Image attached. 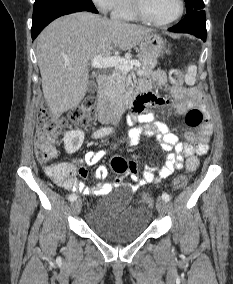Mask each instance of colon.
Wrapping results in <instances>:
<instances>
[{
	"label": "colon",
	"instance_id": "5ec220e1",
	"mask_svg": "<svg viewBox=\"0 0 233 284\" xmlns=\"http://www.w3.org/2000/svg\"><path fill=\"white\" fill-rule=\"evenodd\" d=\"M169 79L174 85L183 83V73L179 69H172L169 72ZM96 111V101L93 97L85 98L78 106L72 108L68 114L61 119H55L51 116L49 108L43 104L38 112V122L35 140V155L39 162L48 163L56 155V139L58 135L66 128L71 126L86 127L88 126ZM204 113L198 107L191 108L185 117L187 126L195 128L204 122ZM111 168L119 175H125L128 170L129 162L123 157L115 156L110 161ZM199 166V160L191 156L186 161L188 172L195 171ZM187 175H180L174 180V188L182 189L187 184ZM143 202L150 206L153 203L151 195H145Z\"/></svg>",
	"mask_w": 233,
	"mask_h": 284
}]
</instances>
